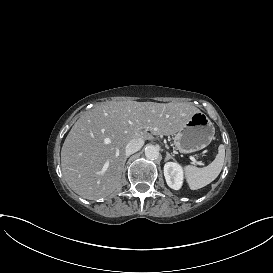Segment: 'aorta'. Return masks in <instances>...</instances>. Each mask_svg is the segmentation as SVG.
<instances>
[{"label":"aorta","mask_w":273,"mask_h":273,"mask_svg":"<svg viewBox=\"0 0 273 273\" xmlns=\"http://www.w3.org/2000/svg\"><path fill=\"white\" fill-rule=\"evenodd\" d=\"M159 148L154 145H148L145 148V156L149 160H156L159 157Z\"/></svg>","instance_id":"obj_1"}]
</instances>
